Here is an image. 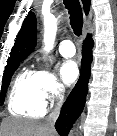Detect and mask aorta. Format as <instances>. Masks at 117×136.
<instances>
[{
  "mask_svg": "<svg viewBox=\"0 0 117 136\" xmlns=\"http://www.w3.org/2000/svg\"><path fill=\"white\" fill-rule=\"evenodd\" d=\"M57 33V19L51 15L44 19V44L45 51H50L53 48Z\"/></svg>",
  "mask_w": 117,
  "mask_h": 136,
  "instance_id": "762f6f07",
  "label": "aorta"
}]
</instances>
